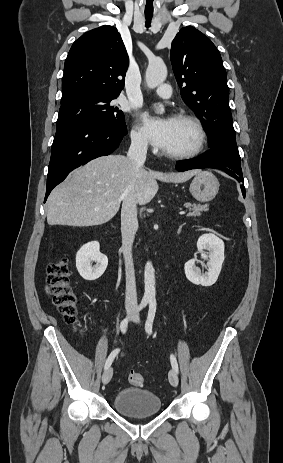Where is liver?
Masks as SVG:
<instances>
[{
  "label": "liver",
  "mask_w": 283,
  "mask_h": 463,
  "mask_svg": "<svg viewBox=\"0 0 283 463\" xmlns=\"http://www.w3.org/2000/svg\"><path fill=\"white\" fill-rule=\"evenodd\" d=\"M200 170L163 173L141 168L139 172L123 155L99 157L75 169L47 200L49 225L88 227L111 220L118 212L123 194L135 180V199L149 203L158 191L156 180L183 183Z\"/></svg>",
  "instance_id": "1"
}]
</instances>
